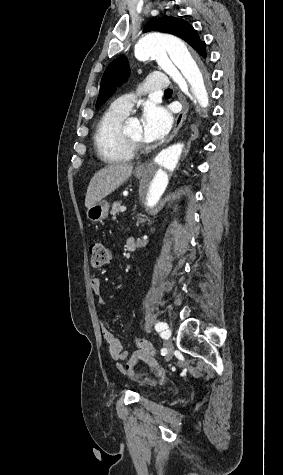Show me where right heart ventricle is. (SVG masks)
Masks as SVG:
<instances>
[{"mask_svg":"<svg viewBox=\"0 0 283 475\" xmlns=\"http://www.w3.org/2000/svg\"><path fill=\"white\" fill-rule=\"evenodd\" d=\"M126 110L120 109L111 104L99 117L95 130L93 141L95 148L101 155L106 153V156H102L105 162H123L131 159L126 157H115L110 154L109 147L115 142L119 136L125 119L128 116Z\"/></svg>","mask_w":283,"mask_h":475,"instance_id":"e07e8e85","label":"right heart ventricle"}]
</instances>
